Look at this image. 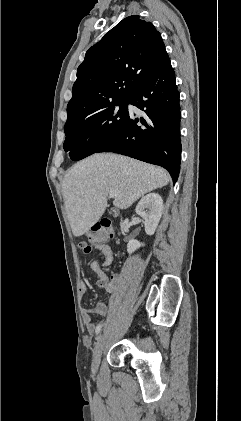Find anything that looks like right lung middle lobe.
I'll list each match as a JSON object with an SVG mask.
<instances>
[{
    "label": "right lung middle lobe",
    "instance_id": "dd1d6c3e",
    "mask_svg": "<svg viewBox=\"0 0 241 421\" xmlns=\"http://www.w3.org/2000/svg\"><path fill=\"white\" fill-rule=\"evenodd\" d=\"M128 100L116 102L64 127V150L73 161L81 160L111 141L129 118Z\"/></svg>",
    "mask_w": 241,
    "mask_h": 421
}]
</instances>
